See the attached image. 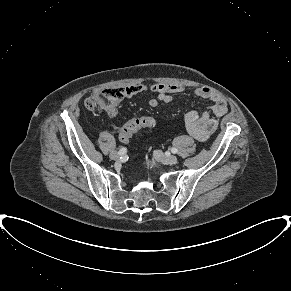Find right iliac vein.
Returning <instances> with one entry per match:
<instances>
[{"instance_id":"1","label":"right iliac vein","mask_w":291,"mask_h":291,"mask_svg":"<svg viewBox=\"0 0 291 291\" xmlns=\"http://www.w3.org/2000/svg\"><path fill=\"white\" fill-rule=\"evenodd\" d=\"M120 154L118 153V152H116V151H112L111 153H110V155H109V157L112 159V160H117V159H119L120 158Z\"/></svg>"}]
</instances>
